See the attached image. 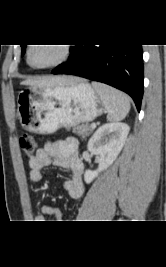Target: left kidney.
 I'll list each match as a JSON object with an SVG mask.
<instances>
[{"mask_svg":"<svg viewBox=\"0 0 166 267\" xmlns=\"http://www.w3.org/2000/svg\"><path fill=\"white\" fill-rule=\"evenodd\" d=\"M129 130V126L125 123H108L97 129L87 147L92 154L99 157V165L94 171H85L86 183H91L100 172L116 160L125 144Z\"/></svg>","mask_w":166,"mask_h":267,"instance_id":"left-kidney-1","label":"left kidney"}]
</instances>
